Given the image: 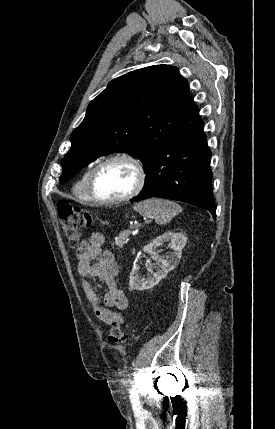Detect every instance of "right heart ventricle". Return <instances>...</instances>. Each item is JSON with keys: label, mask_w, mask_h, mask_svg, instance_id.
<instances>
[{"label": "right heart ventricle", "mask_w": 275, "mask_h": 429, "mask_svg": "<svg viewBox=\"0 0 275 429\" xmlns=\"http://www.w3.org/2000/svg\"><path fill=\"white\" fill-rule=\"evenodd\" d=\"M94 165L88 166L80 175V177L77 179L73 186V193L74 195L81 201L88 202L90 201V198L87 194V180L90 171Z\"/></svg>", "instance_id": "obj_1"}]
</instances>
